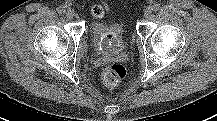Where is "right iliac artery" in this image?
Segmentation results:
<instances>
[{
  "mask_svg": "<svg viewBox=\"0 0 217 121\" xmlns=\"http://www.w3.org/2000/svg\"><path fill=\"white\" fill-rule=\"evenodd\" d=\"M57 12L60 13V14H64V13L66 12V10H65L64 7L59 6V7L57 8Z\"/></svg>",
  "mask_w": 217,
  "mask_h": 121,
  "instance_id": "1",
  "label": "right iliac artery"
}]
</instances>
